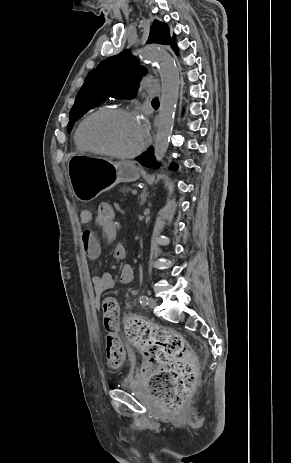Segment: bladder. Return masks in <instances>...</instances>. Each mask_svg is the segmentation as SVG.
Returning a JSON list of instances; mask_svg holds the SVG:
<instances>
[{
	"instance_id": "obj_1",
	"label": "bladder",
	"mask_w": 291,
	"mask_h": 463,
	"mask_svg": "<svg viewBox=\"0 0 291 463\" xmlns=\"http://www.w3.org/2000/svg\"><path fill=\"white\" fill-rule=\"evenodd\" d=\"M118 385L121 388H131L138 386L139 382L134 375L127 374L122 380L119 381Z\"/></svg>"
}]
</instances>
